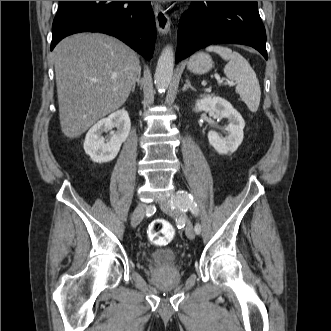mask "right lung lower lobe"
<instances>
[{
	"mask_svg": "<svg viewBox=\"0 0 331 331\" xmlns=\"http://www.w3.org/2000/svg\"><path fill=\"white\" fill-rule=\"evenodd\" d=\"M87 31L112 35L146 59L152 57L156 28L150 1H60L51 50L64 37Z\"/></svg>",
	"mask_w": 331,
	"mask_h": 331,
	"instance_id": "obj_1",
	"label": "right lung lower lobe"
}]
</instances>
